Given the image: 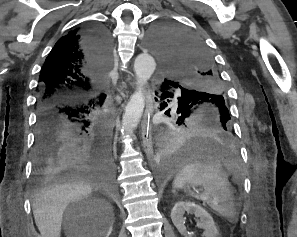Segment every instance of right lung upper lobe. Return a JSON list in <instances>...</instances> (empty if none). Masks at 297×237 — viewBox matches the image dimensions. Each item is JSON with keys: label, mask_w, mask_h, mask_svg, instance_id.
<instances>
[{"label": "right lung upper lobe", "mask_w": 297, "mask_h": 237, "mask_svg": "<svg viewBox=\"0 0 297 237\" xmlns=\"http://www.w3.org/2000/svg\"><path fill=\"white\" fill-rule=\"evenodd\" d=\"M79 27L62 37L45 60L39 82L38 106L46 102L77 103L97 94L106 68L97 67L85 46V29Z\"/></svg>", "instance_id": "right-lung-upper-lobe-1"}]
</instances>
